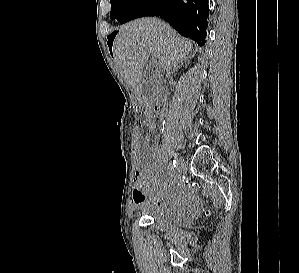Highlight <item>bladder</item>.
Segmentation results:
<instances>
[{
  "label": "bladder",
  "instance_id": "obj_1",
  "mask_svg": "<svg viewBox=\"0 0 299 273\" xmlns=\"http://www.w3.org/2000/svg\"><path fill=\"white\" fill-rule=\"evenodd\" d=\"M147 216L156 224L170 228L177 226L183 220V216L177 213H164L160 211H151L147 213Z\"/></svg>",
  "mask_w": 299,
  "mask_h": 273
}]
</instances>
